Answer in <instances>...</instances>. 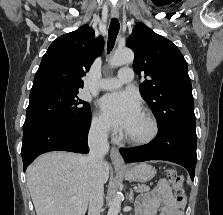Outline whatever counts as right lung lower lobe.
<instances>
[{
    "instance_id": "right-lung-lower-lobe-1",
    "label": "right lung lower lobe",
    "mask_w": 223,
    "mask_h": 215,
    "mask_svg": "<svg viewBox=\"0 0 223 215\" xmlns=\"http://www.w3.org/2000/svg\"><path fill=\"white\" fill-rule=\"evenodd\" d=\"M87 127L66 123H45L23 129L21 156L24 172L40 154L50 151L87 153Z\"/></svg>"
}]
</instances>
